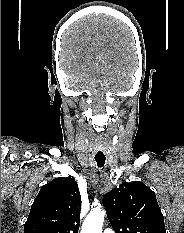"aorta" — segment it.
Listing matches in <instances>:
<instances>
[{
	"mask_svg": "<svg viewBox=\"0 0 184 233\" xmlns=\"http://www.w3.org/2000/svg\"><path fill=\"white\" fill-rule=\"evenodd\" d=\"M105 211L95 208L85 218L81 233H102Z\"/></svg>",
	"mask_w": 184,
	"mask_h": 233,
	"instance_id": "1",
	"label": "aorta"
}]
</instances>
